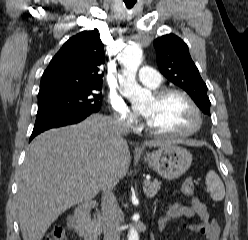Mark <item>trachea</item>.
I'll list each match as a JSON object with an SVG mask.
<instances>
[{
    "label": "trachea",
    "mask_w": 248,
    "mask_h": 240,
    "mask_svg": "<svg viewBox=\"0 0 248 240\" xmlns=\"http://www.w3.org/2000/svg\"><path fill=\"white\" fill-rule=\"evenodd\" d=\"M136 3V0H132V1H125V5H126V7L128 8V9H131L133 6H134V4Z\"/></svg>",
    "instance_id": "3493384b"
}]
</instances>
